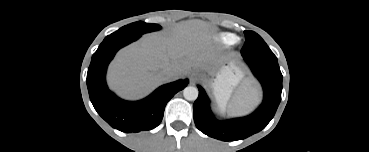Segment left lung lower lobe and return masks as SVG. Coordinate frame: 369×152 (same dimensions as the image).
I'll list each match as a JSON object with an SVG mask.
<instances>
[{
	"mask_svg": "<svg viewBox=\"0 0 369 152\" xmlns=\"http://www.w3.org/2000/svg\"><path fill=\"white\" fill-rule=\"evenodd\" d=\"M243 56V55H242ZM264 91L261 106L251 115L227 121L217 120L210 110L209 99L202 87L193 105L194 122L204 134L222 140L245 139L267 126L281 101L282 74L277 59L243 56Z\"/></svg>",
	"mask_w": 369,
	"mask_h": 152,
	"instance_id": "0a47b994",
	"label": "left lung lower lobe"
}]
</instances>
